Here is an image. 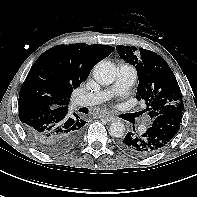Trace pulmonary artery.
Instances as JSON below:
<instances>
[{"label":"pulmonary artery","mask_w":197,"mask_h":197,"mask_svg":"<svg viewBox=\"0 0 197 197\" xmlns=\"http://www.w3.org/2000/svg\"><path fill=\"white\" fill-rule=\"evenodd\" d=\"M137 78L135 67L121 64L118 68L117 78L114 85L104 91L85 93L77 98V104L81 106H93L108 100L113 94L121 93L130 88ZM141 132L146 131V125L140 127Z\"/></svg>","instance_id":"pulmonary-artery-1"}]
</instances>
